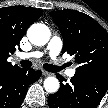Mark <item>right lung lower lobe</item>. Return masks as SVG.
<instances>
[{
    "label": "right lung lower lobe",
    "instance_id": "obj_1",
    "mask_svg": "<svg viewBox=\"0 0 108 108\" xmlns=\"http://www.w3.org/2000/svg\"><path fill=\"white\" fill-rule=\"evenodd\" d=\"M40 76L39 70L23 68L14 72L0 73V108H19L28 86Z\"/></svg>",
    "mask_w": 108,
    "mask_h": 108
}]
</instances>
